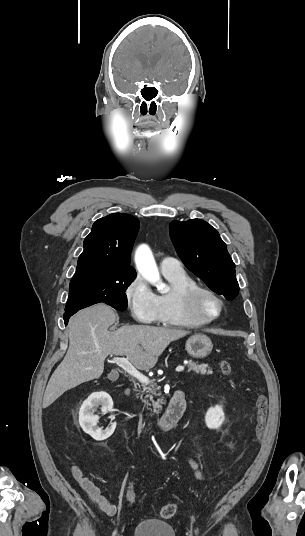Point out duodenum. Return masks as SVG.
<instances>
[{"mask_svg":"<svg viewBox=\"0 0 305 536\" xmlns=\"http://www.w3.org/2000/svg\"><path fill=\"white\" fill-rule=\"evenodd\" d=\"M185 404L184 392L176 391L170 400L167 412L154 426V429L159 432L170 431L182 417L185 411Z\"/></svg>","mask_w":305,"mask_h":536,"instance_id":"duodenum-1","label":"duodenum"}]
</instances>
